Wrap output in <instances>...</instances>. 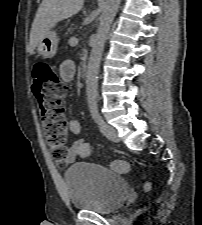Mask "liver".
Masks as SVG:
<instances>
[{
	"label": "liver",
	"instance_id": "liver-1",
	"mask_svg": "<svg viewBox=\"0 0 202 225\" xmlns=\"http://www.w3.org/2000/svg\"><path fill=\"white\" fill-rule=\"evenodd\" d=\"M84 0H42L30 33L28 51L33 53L44 35L58 22L77 14Z\"/></svg>",
	"mask_w": 202,
	"mask_h": 225
}]
</instances>
